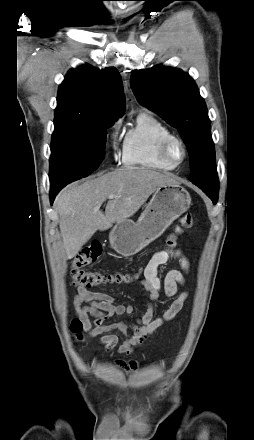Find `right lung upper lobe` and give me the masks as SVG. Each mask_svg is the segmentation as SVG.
<instances>
[{
  "label": "right lung upper lobe",
  "instance_id": "obj_1",
  "mask_svg": "<svg viewBox=\"0 0 254 440\" xmlns=\"http://www.w3.org/2000/svg\"><path fill=\"white\" fill-rule=\"evenodd\" d=\"M125 108L122 81L115 68L83 65L71 70L59 86L55 118L76 117L105 122L121 117Z\"/></svg>",
  "mask_w": 254,
  "mask_h": 440
}]
</instances>
